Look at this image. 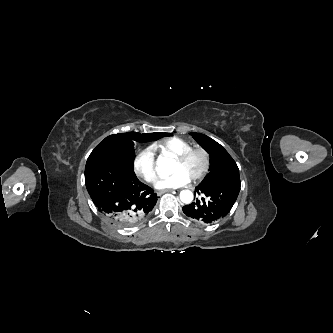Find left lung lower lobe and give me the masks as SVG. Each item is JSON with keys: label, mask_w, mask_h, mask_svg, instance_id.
<instances>
[{"label": "left lung lower lobe", "mask_w": 333, "mask_h": 333, "mask_svg": "<svg viewBox=\"0 0 333 333\" xmlns=\"http://www.w3.org/2000/svg\"><path fill=\"white\" fill-rule=\"evenodd\" d=\"M240 178L233 177L212 183L209 186H197L195 192L203 193L209 201H200L183 207V212L200 223L213 224L223 219L233 207L240 191Z\"/></svg>", "instance_id": "obj_1"}]
</instances>
